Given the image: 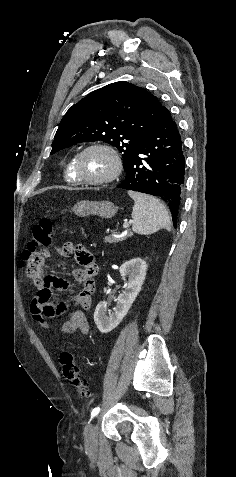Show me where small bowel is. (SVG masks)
I'll use <instances>...</instances> for the list:
<instances>
[{"label":"small bowel","instance_id":"small-bowel-1","mask_svg":"<svg viewBox=\"0 0 236 477\" xmlns=\"http://www.w3.org/2000/svg\"><path fill=\"white\" fill-rule=\"evenodd\" d=\"M56 250L62 257L75 258L78 267L73 270L72 275L79 288L62 298L60 294L66 293L70 289V284L62 278L43 276L37 283L38 293L31 302V313L43 328L50 329L51 325L46 318L58 317L72 308L67 320L58 329V333L61 335L87 334L90 329L88 320L84 312L78 308L90 309L92 306L91 296L96 288L93 280L96 273L94 257L83 246L73 242H66L56 247Z\"/></svg>","mask_w":236,"mask_h":477}]
</instances>
